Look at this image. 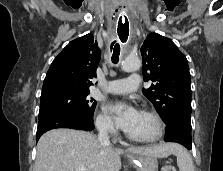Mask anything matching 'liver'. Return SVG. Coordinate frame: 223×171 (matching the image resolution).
Instances as JSON below:
<instances>
[{
	"label": "liver",
	"instance_id": "liver-1",
	"mask_svg": "<svg viewBox=\"0 0 223 171\" xmlns=\"http://www.w3.org/2000/svg\"><path fill=\"white\" fill-rule=\"evenodd\" d=\"M175 144L139 148L127 151L136 155L166 158L174 152ZM124 150L102 145L91 133L73 129H54L46 132L37 144L34 171H76L78 165L87 171H119L120 155Z\"/></svg>",
	"mask_w": 223,
	"mask_h": 171
}]
</instances>
